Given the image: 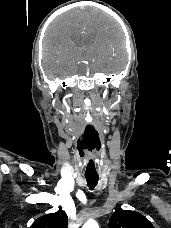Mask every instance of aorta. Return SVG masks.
<instances>
[{
	"mask_svg": "<svg viewBox=\"0 0 171 228\" xmlns=\"http://www.w3.org/2000/svg\"><path fill=\"white\" fill-rule=\"evenodd\" d=\"M82 228H99L97 222L95 220H88Z\"/></svg>",
	"mask_w": 171,
	"mask_h": 228,
	"instance_id": "1",
	"label": "aorta"
}]
</instances>
